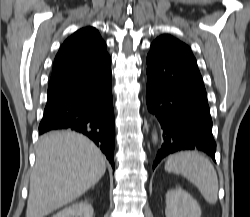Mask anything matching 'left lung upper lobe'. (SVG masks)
<instances>
[{
	"instance_id": "1",
	"label": "left lung upper lobe",
	"mask_w": 250,
	"mask_h": 217,
	"mask_svg": "<svg viewBox=\"0 0 250 217\" xmlns=\"http://www.w3.org/2000/svg\"><path fill=\"white\" fill-rule=\"evenodd\" d=\"M154 42H165V43L177 46V47L185 48L191 52L190 48L186 44H184L183 42L177 40L176 38L170 35H162L158 37Z\"/></svg>"
}]
</instances>
